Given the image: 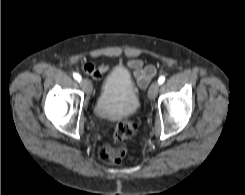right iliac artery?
<instances>
[{
  "label": "right iliac artery",
  "instance_id": "right-iliac-artery-1",
  "mask_svg": "<svg viewBox=\"0 0 245 195\" xmlns=\"http://www.w3.org/2000/svg\"><path fill=\"white\" fill-rule=\"evenodd\" d=\"M74 79H76L78 82H81L82 78L78 73L73 74Z\"/></svg>",
  "mask_w": 245,
  "mask_h": 195
}]
</instances>
